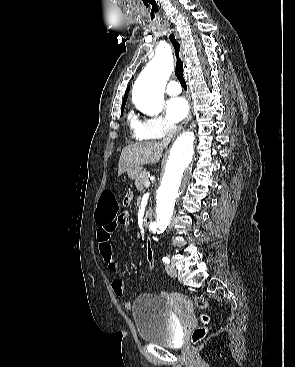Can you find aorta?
<instances>
[{
    "instance_id": "762f6f07",
    "label": "aorta",
    "mask_w": 295,
    "mask_h": 367,
    "mask_svg": "<svg viewBox=\"0 0 295 367\" xmlns=\"http://www.w3.org/2000/svg\"><path fill=\"white\" fill-rule=\"evenodd\" d=\"M173 70L172 59L156 55L136 80L132 100L148 115H158L163 107L164 89ZM194 133L183 132L171 147L156 196V221L150 225L153 233H163L174 212L175 202L183 186L194 151Z\"/></svg>"
}]
</instances>
